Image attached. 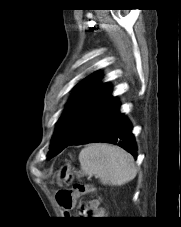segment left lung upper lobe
Returning a JSON list of instances; mask_svg holds the SVG:
<instances>
[{
    "label": "left lung upper lobe",
    "instance_id": "1",
    "mask_svg": "<svg viewBox=\"0 0 181 227\" xmlns=\"http://www.w3.org/2000/svg\"><path fill=\"white\" fill-rule=\"evenodd\" d=\"M111 97L107 83L93 73L80 82L67 108L58 120L48 159L67 147L83 130L93 113Z\"/></svg>",
    "mask_w": 181,
    "mask_h": 227
}]
</instances>
